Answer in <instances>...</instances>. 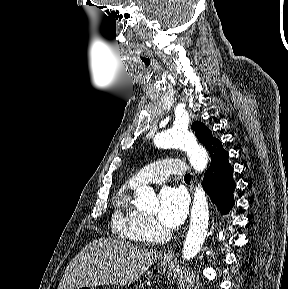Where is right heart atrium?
I'll return each mask as SVG.
<instances>
[{
  "instance_id": "right-heart-atrium-1",
  "label": "right heart atrium",
  "mask_w": 288,
  "mask_h": 289,
  "mask_svg": "<svg viewBox=\"0 0 288 289\" xmlns=\"http://www.w3.org/2000/svg\"><path fill=\"white\" fill-rule=\"evenodd\" d=\"M141 230L144 237L147 240H156L161 237L162 229L155 222V220L149 216H144L141 222Z\"/></svg>"
}]
</instances>
